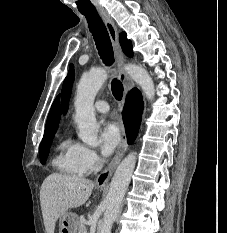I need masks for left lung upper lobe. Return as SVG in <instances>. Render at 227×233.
Masks as SVG:
<instances>
[{
  "label": "left lung upper lobe",
  "mask_w": 227,
  "mask_h": 233,
  "mask_svg": "<svg viewBox=\"0 0 227 233\" xmlns=\"http://www.w3.org/2000/svg\"><path fill=\"white\" fill-rule=\"evenodd\" d=\"M120 44L122 47V50L128 57L133 56L132 51V44L130 40L127 39L126 33L122 32L119 36ZM70 70L68 71L67 77L64 80L63 88H62V107H63V113L65 114L68 110V99L71 94V88L74 80V70L73 65H70Z\"/></svg>",
  "instance_id": "5c2ea615"
}]
</instances>
